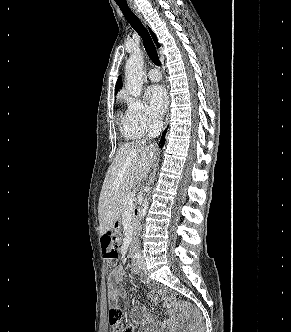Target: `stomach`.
Listing matches in <instances>:
<instances>
[{"instance_id": "0dacf381", "label": "stomach", "mask_w": 291, "mask_h": 332, "mask_svg": "<svg viewBox=\"0 0 291 332\" xmlns=\"http://www.w3.org/2000/svg\"><path fill=\"white\" fill-rule=\"evenodd\" d=\"M119 225H120L119 222H115L114 225H113V228L118 229Z\"/></svg>"}]
</instances>
